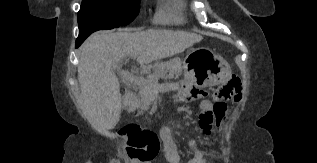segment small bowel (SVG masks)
Listing matches in <instances>:
<instances>
[{
  "label": "small bowel",
  "mask_w": 317,
  "mask_h": 163,
  "mask_svg": "<svg viewBox=\"0 0 317 163\" xmlns=\"http://www.w3.org/2000/svg\"><path fill=\"white\" fill-rule=\"evenodd\" d=\"M188 91L185 89L179 95L181 100H185L188 95ZM201 94L205 93V90L200 92ZM202 103H210L205 100ZM227 121V111L221 116L218 121V126H223ZM211 130H203L205 136H209L211 134ZM160 137L162 141V156L168 163H181V157L178 151V144L172 136V127L170 125L164 126L160 130ZM189 148L193 154L192 158L188 160L187 163H210L207 153L199 146L198 141L191 137L188 142ZM91 163V162H86Z\"/></svg>",
  "instance_id": "1"
}]
</instances>
